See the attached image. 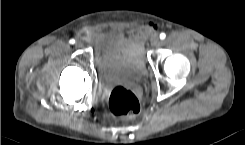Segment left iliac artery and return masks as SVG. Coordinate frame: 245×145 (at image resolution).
I'll return each instance as SVG.
<instances>
[{"label":"left iliac artery","instance_id":"1","mask_svg":"<svg viewBox=\"0 0 245 145\" xmlns=\"http://www.w3.org/2000/svg\"><path fill=\"white\" fill-rule=\"evenodd\" d=\"M165 37H166L165 33H161V34H160V39L163 40Z\"/></svg>","mask_w":245,"mask_h":145}]
</instances>
